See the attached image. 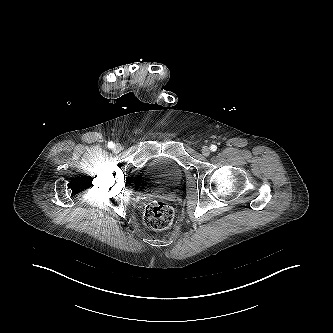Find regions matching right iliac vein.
<instances>
[{
  "mask_svg": "<svg viewBox=\"0 0 333 333\" xmlns=\"http://www.w3.org/2000/svg\"><path fill=\"white\" fill-rule=\"evenodd\" d=\"M121 145L120 144H116L115 146H114V151L115 152H119L120 150H121Z\"/></svg>",
  "mask_w": 333,
  "mask_h": 333,
  "instance_id": "right-iliac-vein-1",
  "label": "right iliac vein"
}]
</instances>
